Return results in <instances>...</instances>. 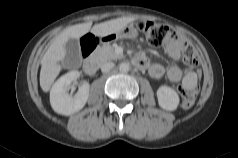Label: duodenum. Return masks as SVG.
<instances>
[{
  "label": "duodenum",
  "mask_w": 238,
  "mask_h": 158,
  "mask_svg": "<svg viewBox=\"0 0 238 158\" xmlns=\"http://www.w3.org/2000/svg\"><path fill=\"white\" fill-rule=\"evenodd\" d=\"M134 62L138 67L140 68L144 67V63L141 59H136ZM83 69L85 73H87L88 75H93L96 73L98 69L97 62L93 59H86L83 64Z\"/></svg>",
  "instance_id": "duodenum-1"
}]
</instances>
